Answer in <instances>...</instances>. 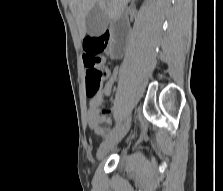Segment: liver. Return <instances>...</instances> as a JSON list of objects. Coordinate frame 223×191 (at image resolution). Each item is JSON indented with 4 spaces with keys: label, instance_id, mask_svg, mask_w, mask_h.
Returning a JSON list of instances; mask_svg holds the SVG:
<instances>
[{
    "label": "liver",
    "instance_id": "6515ba94",
    "mask_svg": "<svg viewBox=\"0 0 223 191\" xmlns=\"http://www.w3.org/2000/svg\"><path fill=\"white\" fill-rule=\"evenodd\" d=\"M130 0H69L70 10L76 20L80 35L86 33L85 20L89 11L94 7H100L109 19H115L123 13Z\"/></svg>",
    "mask_w": 223,
    "mask_h": 191
}]
</instances>
